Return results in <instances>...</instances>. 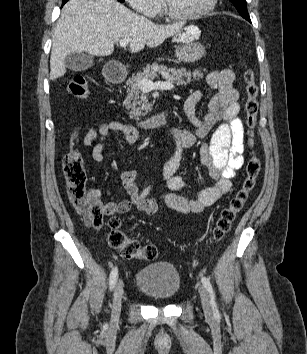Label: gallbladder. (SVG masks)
I'll use <instances>...</instances> for the list:
<instances>
[{
  "label": "gallbladder",
  "instance_id": "obj_1",
  "mask_svg": "<svg viewBox=\"0 0 307 354\" xmlns=\"http://www.w3.org/2000/svg\"><path fill=\"white\" fill-rule=\"evenodd\" d=\"M64 62L73 71H85L93 66V58L83 52L70 53Z\"/></svg>",
  "mask_w": 307,
  "mask_h": 354
}]
</instances>
